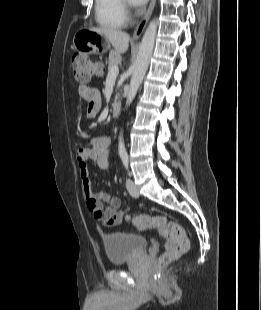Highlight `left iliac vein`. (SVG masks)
Instances as JSON below:
<instances>
[{
    "label": "left iliac vein",
    "instance_id": "obj_1",
    "mask_svg": "<svg viewBox=\"0 0 261 310\" xmlns=\"http://www.w3.org/2000/svg\"><path fill=\"white\" fill-rule=\"evenodd\" d=\"M126 186H127V190L129 192V194L134 197L137 198L139 197V190L136 187V185L134 184V182L131 179H128L126 182Z\"/></svg>",
    "mask_w": 261,
    "mask_h": 310
}]
</instances>
